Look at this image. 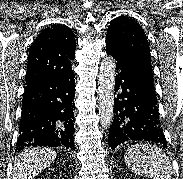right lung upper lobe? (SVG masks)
<instances>
[{"mask_svg":"<svg viewBox=\"0 0 183 179\" xmlns=\"http://www.w3.org/2000/svg\"><path fill=\"white\" fill-rule=\"evenodd\" d=\"M76 41L69 27H47L36 37L29 50L26 84L38 79H69L74 76L71 60Z\"/></svg>","mask_w":183,"mask_h":179,"instance_id":"cb5924a9","label":"right lung upper lobe"}]
</instances>
